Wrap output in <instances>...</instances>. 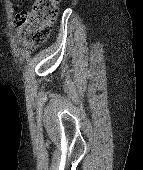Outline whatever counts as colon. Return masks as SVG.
<instances>
[{
  "label": "colon",
  "instance_id": "obj_1",
  "mask_svg": "<svg viewBox=\"0 0 143 170\" xmlns=\"http://www.w3.org/2000/svg\"><path fill=\"white\" fill-rule=\"evenodd\" d=\"M60 0H35L28 11L18 16L17 27L30 44L43 43L51 32V24L58 15Z\"/></svg>",
  "mask_w": 143,
  "mask_h": 170
}]
</instances>
